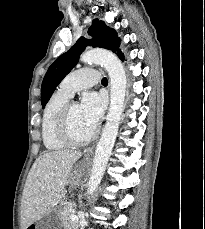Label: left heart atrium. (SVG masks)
<instances>
[{"mask_svg": "<svg viewBox=\"0 0 205 229\" xmlns=\"http://www.w3.org/2000/svg\"><path fill=\"white\" fill-rule=\"evenodd\" d=\"M79 106L85 119L95 126L103 114L105 98L97 92H87Z\"/></svg>", "mask_w": 205, "mask_h": 229, "instance_id": "1", "label": "left heart atrium"}]
</instances>
